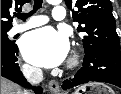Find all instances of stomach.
<instances>
[{
  "instance_id": "0dacf381",
  "label": "stomach",
  "mask_w": 121,
  "mask_h": 94,
  "mask_svg": "<svg viewBox=\"0 0 121 94\" xmlns=\"http://www.w3.org/2000/svg\"><path fill=\"white\" fill-rule=\"evenodd\" d=\"M73 94H115V92L105 84L88 83L79 87Z\"/></svg>"
}]
</instances>
